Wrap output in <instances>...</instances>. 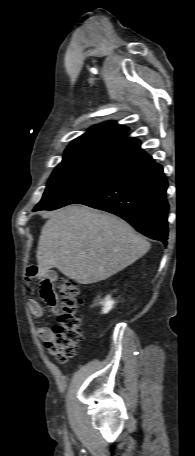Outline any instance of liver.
Listing matches in <instances>:
<instances>
[{"label": "liver", "instance_id": "1", "mask_svg": "<svg viewBox=\"0 0 195 456\" xmlns=\"http://www.w3.org/2000/svg\"><path fill=\"white\" fill-rule=\"evenodd\" d=\"M150 243L124 220L86 206L51 213L37 248L38 271L57 268L80 284L107 279L148 252Z\"/></svg>", "mask_w": 195, "mask_h": 456}]
</instances>
